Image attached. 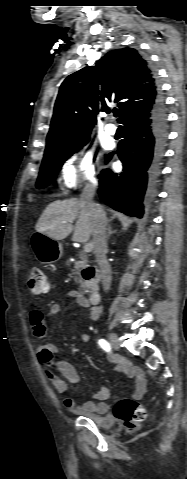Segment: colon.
<instances>
[{"label": "colon", "mask_w": 187, "mask_h": 479, "mask_svg": "<svg viewBox=\"0 0 187 479\" xmlns=\"http://www.w3.org/2000/svg\"><path fill=\"white\" fill-rule=\"evenodd\" d=\"M27 290L32 295H40L48 290L45 273L36 267L30 268L27 277ZM114 416L124 423L128 431H134L146 416L144 407L131 398L118 400L113 410Z\"/></svg>", "instance_id": "5ec220e1"}]
</instances>
